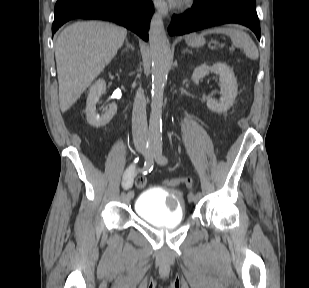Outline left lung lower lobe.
Listing matches in <instances>:
<instances>
[{
	"label": "left lung lower lobe",
	"instance_id": "1",
	"mask_svg": "<svg viewBox=\"0 0 309 288\" xmlns=\"http://www.w3.org/2000/svg\"><path fill=\"white\" fill-rule=\"evenodd\" d=\"M255 0H194L193 9L173 15L169 33L182 35L225 23L249 27L260 40V24Z\"/></svg>",
	"mask_w": 309,
	"mask_h": 288
}]
</instances>
